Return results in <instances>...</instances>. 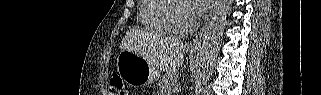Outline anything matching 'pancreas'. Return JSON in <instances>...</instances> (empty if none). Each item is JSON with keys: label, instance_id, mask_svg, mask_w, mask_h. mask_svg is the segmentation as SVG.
Here are the masks:
<instances>
[{"label": "pancreas", "instance_id": "pancreas-1", "mask_svg": "<svg viewBox=\"0 0 321 95\" xmlns=\"http://www.w3.org/2000/svg\"><path fill=\"white\" fill-rule=\"evenodd\" d=\"M178 74L176 72H167L163 75L158 83L159 94L164 95L166 92L171 91L177 87Z\"/></svg>", "mask_w": 321, "mask_h": 95}]
</instances>
